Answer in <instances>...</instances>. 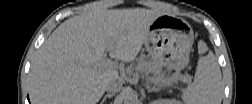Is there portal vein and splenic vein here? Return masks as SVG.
<instances>
[{"instance_id":"1","label":"portal vein and splenic vein","mask_w":252,"mask_h":104,"mask_svg":"<svg viewBox=\"0 0 252 104\" xmlns=\"http://www.w3.org/2000/svg\"><path fill=\"white\" fill-rule=\"evenodd\" d=\"M99 66L101 67H106V68H115L116 69V66L114 64V62L109 59V58H103V60L100 62ZM183 80L186 81L187 83H191L192 79L190 76H185L183 77ZM167 84H170L169 82H165Z\"/></svg>"}]
</instances>
